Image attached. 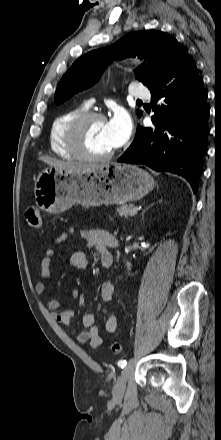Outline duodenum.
Listing matches in <instances>:
<instances>
[{
    "label": "duodenum",
    "mask_w": 221,
    "mask_h": 440,
    "mask_svg": "<svg viewBox=\"0 0 221 440\" xmlns=\"http://www.w3.org/2000/svg\"><path fill=\"white\" fill-rule=\"evenodd\" d=\"M115 246H117V241L116 240L112 242V247H115ZM112 263H113V259L112 258H107L104 261V266L106 268H110L112 266Z\"/></svg>",
    "instance_id": "duodenum-1"
}]
</instances>
